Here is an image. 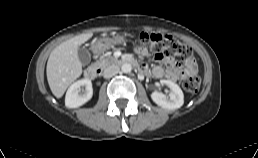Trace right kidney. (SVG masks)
I'll use <instances>...</instances> for the list:
<instances>
[{
    "mask_svg": "<svg viewBox=\"0 0 258 158\" xmlns=\"http://www.w3.org/2000/svg\"><path fill=\"white\" fill-rule=\"evenodd\" d=\"M93 95L91 80L81 79L73 83L67 90L65 105L68 108H77L88 102Z\"/></svg>",
    "mask_w": 258,
    "mask_h": 158,
    "instance_id": "ca27d5eb",
    "label": "right kidney"
}]
</instances>
